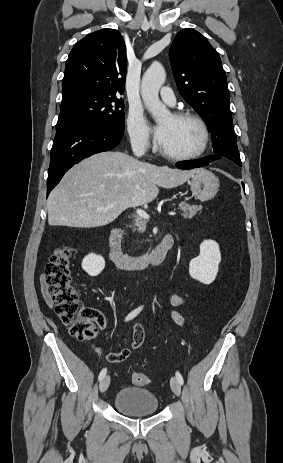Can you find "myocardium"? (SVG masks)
<instances>
[{
    "mask_svg": "<svg viewBox=\"0 0 283 463\" xmlns=\"http://www.w3.org/2000/svg\"><path fill=\"white\" fill-rule=\"evenodd\" d=\"M171 117L176 120L194 121L199 126L201 133H202L201 145L197 151L190 153V154H185V155L172 154V153H169L163 150L160 147L158 148V152L163 157L173 160V161H191V160H195L201 157L206 152L208 145H209V140H210L209 129L204 119L200 115L194 112H190V111L175 112L171 115Z\"/></svg>",
    "mask_w": 283,
    "mask_h": 463,
    "instance_id": "1",
    "label": "myocardium"
}]
</instances>
